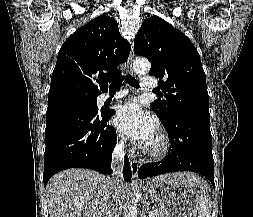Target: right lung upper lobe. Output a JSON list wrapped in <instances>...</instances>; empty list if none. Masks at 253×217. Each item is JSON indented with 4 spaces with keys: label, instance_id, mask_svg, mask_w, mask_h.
Wrapping results in <instances>:
<instances>
[{
    "label": "right lung upper lobe",
    "instance_id": "right-lung-upper-lobe-1",
    "mask_svg": "<svg viewBox=\"0 0 253 217\" xmlns=\"http://www.w3.org/2000/svg\"><path fill=\"white\" fill-rule=\"evenodd\" d=\"M130 49L115 19L107 15L92 19L61 46L48 102L97 97L107 90L108 82L121 76L117 66L128 58Z\"/></svg>",
    "mask_w": 253,
    "mask_h": 217
}]
</instances>
